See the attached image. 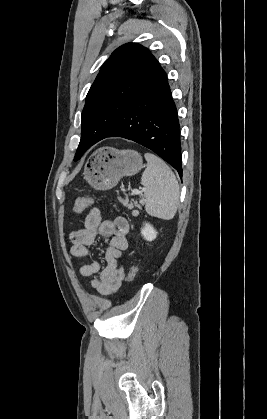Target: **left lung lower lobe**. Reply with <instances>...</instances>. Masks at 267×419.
I'll return each mask as SVG.
<instances>
[{"label": "left lung lower lobe", "instance_id": "0a47b994", "mask_svg": "<svg viewBox=\"0 0 267 419\" xmlns=\"http://www.w3.org/2000/svg\"><path fill=\"white\" fill-rule=\"evenodd\" d=\"M107 137L135 141L159 155L182 177L180 126L165 71L161 69L123 112L111 114L88 149Z\"/></svg>", "mask_w": 267, "mask_h": 419}]
</instances>
